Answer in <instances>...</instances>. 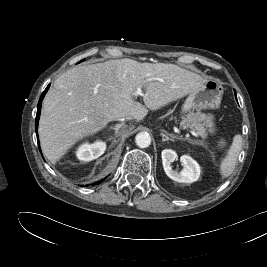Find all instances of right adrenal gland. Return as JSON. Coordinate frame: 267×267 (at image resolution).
Wrapping results in <instances>:
<instances>
[{
    "mask_svg": "<svg viewBox=\"0 0 267 267\" xmlns=\"http://www.w3.org/2000/svg\"><path fill=\"white\" fill-rule=\"evenodd\" d=\"M122 126H125V124H124V123L116 124L115 126H110V129L115 130V134H117L118 131H119V129H120Z\"/></svg>",
    "mask_w": 267,
    "mask_h": 267,
    "instance_id": "obj_1",
    "label": "right adrenal gland"
}]
</instances>
